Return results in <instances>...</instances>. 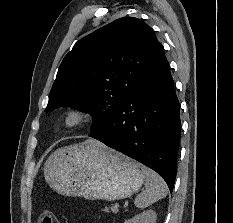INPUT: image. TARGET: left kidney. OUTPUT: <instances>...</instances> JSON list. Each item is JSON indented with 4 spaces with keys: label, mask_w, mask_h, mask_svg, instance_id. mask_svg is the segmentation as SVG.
I'll return each mask as SVG.
<instances>
[{
    "label": "left kidney",
    "mask_w": 233,
    "mask_h": 223,
    "mask_svg": "<svg viewBox=\"0 0 233 223\" xmlns=\"http://www.w3.org/2000/svg\"><path fill=\"white\" fill-rule=\"evenodd\" d=\"M157 213L154 209H146L143 213L134 215L131 219H125L124 223H156Z\"/></svg>",
    "instance_id": "1"
}]
</instances>
